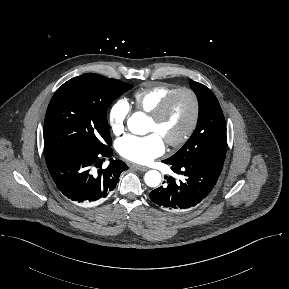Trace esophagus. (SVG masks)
Wrapping results in <instances>:
<instances>
[{
    "instance_id": "34e87169",
    "label": "esophagus",
    "mask_w": 289,
    "mask_h": 289,
    "mask_svg": "<svg viewBox=\"0 0 289 289\" xmlns=\"http://www.w3.org/2000/svg\"><path fill=\"white\" fill-rule=\"evenodd\" d=\"M133 168L139 170V171H147L149 168L148 167H145V166H141V165H137V164H132L131 165Z\"/></svg>"
}]
</instances>
